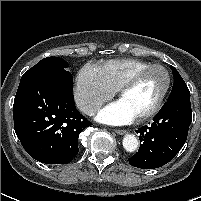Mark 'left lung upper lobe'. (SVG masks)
Here are the masks:
<instances>
[{
	"mask_svg": "<svg viewBox=\"0 0 201 201\" xmlns=\"http://www.w3.org/2000/svg\"><path fill=\"white\" fill-rule=\"evenodd\" d=\"M171 70L174 76V84L169 98L183 94H190L187 85L179 72L173 66H171Z\"/></svg>",
	"mask_w": 201,
	"mask_h": 201,
	"instance_id": "5c2ea615",
	"label": "left lung upper lobe"
}]
</instances>
